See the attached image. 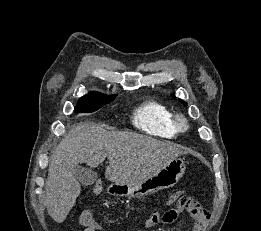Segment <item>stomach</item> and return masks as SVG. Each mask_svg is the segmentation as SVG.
<instances>
[{
	"instance_id": "0dacf381",
	"label": "stomach",
	"mask_w": 261,
	"mask_h": 231,
	"mask_svg": "<svg viewBox=\"0 0 261 231\" xmlns=\"http://www.w3.org/2000/svg\"><path fill=\"white\" fill-rule=\"evenodd\" d=\"M186 170L183 158L177 157L161 170L153 173L142 181L131 184H115L109 187V192L117 196L142 198L162 189L173 187L182 178Z\"/></svg>"
}]
</instances>
